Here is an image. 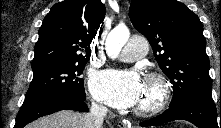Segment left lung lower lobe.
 <instances>
[{"label":"left lung lower lobe","instance_id":"1","mask_svg":"<svg viewBox=\"0 0 221 128\" xmlns=\"http://www.w3.org/2000/svg\"><path fill=\"white\" fill-rule=\"evenodd\" d=\"M217 117V109L212 98L196 97L171 107L155 118L141 122L140 125L155 126L181 119L193 123L198 128H219V126L221 128V112L220 124Z\"/></svg>","mask_w":221,"mask_h":128}]
</instances>
